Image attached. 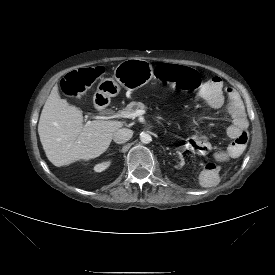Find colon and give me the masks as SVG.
<instances>
[{
  "mask_svg": "<svg viewBox=\"0 0 275 275\" xmlns=\"http://www.w3.org/2000/svg\"><path fill=\"white\" fill-rule=\"evenodd\" d=\"M103 74L101 67L82 68L69 73L62 81V91L68 96H77L85 92L92 83ZM157 78L165 83L172 84L182 91H195L200 88L202 81L200 75L193 69L175 65L162 64L155 69ZM248 142L247 132L233 139L227 148L229 155H238L243 152Z\"/></svg>",
  "mask_w": 275,
  "mask_h": 275,
  "instance_id": "5ec220e1",
  "label": "colon"
}]
</instances>
